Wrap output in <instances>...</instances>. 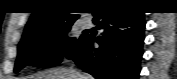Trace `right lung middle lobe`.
I'll use <instances>...</instances> for the list:
<instances>
[{
  "label": "right lung middle lobe",
  "mask_w": 177,
  "mask_h": 79,
  "mask_svg": "<svg viewBox=\"0 0 177 79\" xmlns=\"http://www.w3.org/2000/svg\"><path fill=\"white\" fill-rule=\"evenodd\" d=\"M71 24L38 30L22 38L18 46V57L15 72L27 65L35 67H52L61 62L63 47L66 57L80 43L79 39L67 37ZM59 42V43H58Z\"/></svg>",
  "instance_id": "obj_1"
}]
</instances>
